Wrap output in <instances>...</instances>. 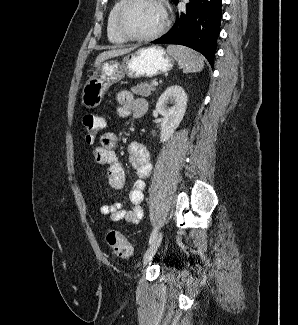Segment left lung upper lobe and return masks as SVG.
<instances>
[{"mask_svg":"<svg viewBox=\"0 0 298 325\" xmlns=\"http://www.w3.org/2000/svg\"><path fill=\"white\" fill-rule=\"evenodd\" d=\"M173 2H176L177 0H172Z\"/></svg>","mask_w":298,"mask_h":325,"instance_id":"left-lung-upper-lobe-1","label":"left lung upper lobe"}]
</instances>
